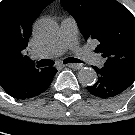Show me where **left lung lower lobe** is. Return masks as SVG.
<instances>
[{
    "label": "left lung lower lobe",
    "mask_w": 135,
    "mask_h": 135,
    "mask_svg": "<svg viewBox=\"0 0 135 135\" xmlns=\"http://www.w3.org/2000/svg\"><path fill=\"white\" fill-rule=\"evenodd\" d=\"M93 68L98 74V80L93 85L88 86L87 90L94 96L100 98L114 97L122 93L134 82V80L119 75L108 68L99 69L94 66Z\"/></svg>",
    "instance_id": "obj_1"
}]
</instances>
